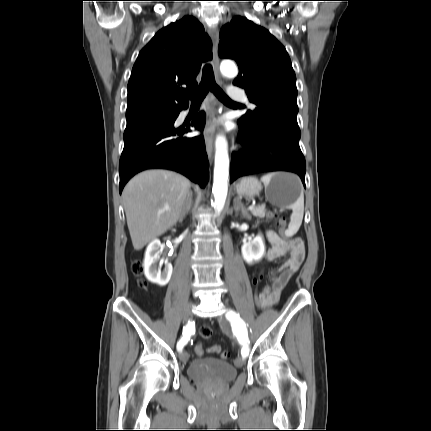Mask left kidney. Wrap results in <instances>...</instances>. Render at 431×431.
I'll list each match as a JSON object with an SVG mask.
<instances>
[{
  "mask_svg": "<svg viewBox=\"0 0 431 431\" xmlns=\"http://www.w3.org/2000/svg\"><path fill=\"white\" fill-rule=\"evenodd\" d=\"M241 252L243 259L248 264L260 261L265 253L263 237L258 235L251 242L244 243Z\"/></svg>",
  "mask_w": 431,
  "mask_h": 431,
  "instance_id": "5707ae66",
  "label": "left kidney"
}]
</instances>
